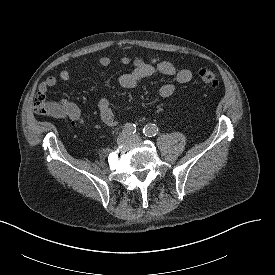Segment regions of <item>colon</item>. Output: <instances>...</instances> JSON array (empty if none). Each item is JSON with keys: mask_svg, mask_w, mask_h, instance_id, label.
Listing matches in <instances>:
<instances>
[{"mask_svg": "<svg viewBox=\"0 0 275 275\" xmlns=\"http://www.w3.org/2000/svg\"><path fill=\"white\" fill-rule=\"evenodd\" d=\"M201 82L209 88L218 85V72L211 68H202L198 72ZM52 104L47 100L44 92L38 91L34 96V109L39 115H47L51 110Z\"/></svg>", "mask_w": 275, "mask_h": 275, "instance_id": "colon-1", "label": "colon"}]
</instances>
